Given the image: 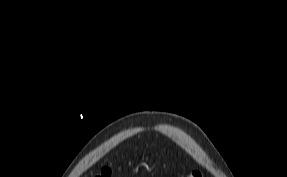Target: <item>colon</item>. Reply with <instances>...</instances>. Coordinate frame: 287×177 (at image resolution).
<instances>
[{"label":"colon","mask_w":287,"mask_h":177,"mask_svg":"<svg viewBox=\"0 0 287 177\" xmlns=\"http://www.w3.org/2000/svg\"><path fill=\"white\" fill-rule=\"evenodd\" d=\"M111 171L108 168L102 169L95 177H110ZM184 177H202V174L199 171H191L186 174Z\"/></svg>","instance_id":"1"}]
</instances>
